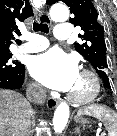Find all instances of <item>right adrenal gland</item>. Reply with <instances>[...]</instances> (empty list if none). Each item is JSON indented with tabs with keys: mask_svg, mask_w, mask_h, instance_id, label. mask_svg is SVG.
<instances>
[{
	"mask_svg": "<svg viewBox=\"0 0 117 136\" xmlns=\"http://www.w3.org/2000/svg\"><path fill=\"white\" fill-rule=\"evenodd\" d=\"M29 134H30V129H28L26 136H29Z\"/></svg>",
	"mask_w": 117,
	"mask_h": 136,
	"instance_id": "right-adrenal-gland-1",
	"label": "right adrenal gland"
}]
</instances>
